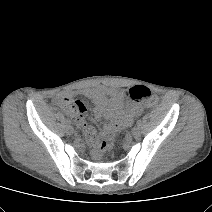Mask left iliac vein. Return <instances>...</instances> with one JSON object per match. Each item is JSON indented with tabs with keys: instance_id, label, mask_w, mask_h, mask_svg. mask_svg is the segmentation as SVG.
<instances>
[{
	"instance_id": "1",
	"label": "left iliac vein",
	"mask_w": 212,
	"mask_h": 212,
	"mask_svg": "<svg viewBox=\"0 0 212 212\" xmlns=\"http://www.w3.org/2000/svg\"><path fill=\"white\" fill-rule=\"evenodd\" d=\"M131 134L134 138H138L141 134L139 127H134L131 131Z\"/></svg>"
}]
</instances>
